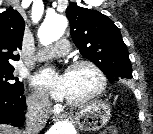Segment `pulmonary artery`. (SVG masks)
<instances>
[{"mask_svg":"<svg viewBox=\"0 0 153 134\" xmlns=\"http://www.w3.org/2000/svg\"><path fill=\"white\" fill-rule=\"evenodd\" d=\"M69 42L66 39L58 40L55 45L41 49L36 56L38 61H45L55 57H61L68 53Z\"/></svg>","mask_w":153,"mask_h":134,"instance_id":"obj_1","label":"pulmonary artery"}]
</instances>
